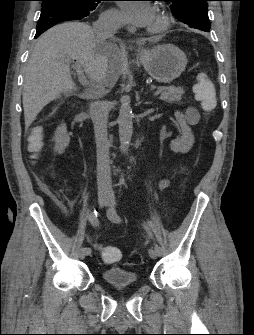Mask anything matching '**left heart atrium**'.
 <instances>
[{
  "label": "left heart atrium",
  "mask_w": 254,
  "mask_h": 335,
  "mask_svg": "<svg viewBox=\"0 0 254 335\" xmlns=\"http://www.w3.org/2000/svg\"><path fill=\"white\" fill-rule=\"evenodd\" d=\"M121 8L128 24L138 29L154 27L157 16L152 4L145 1H124Z\"/></svg>",
  "instance_id": "1"
}]
</instances>
